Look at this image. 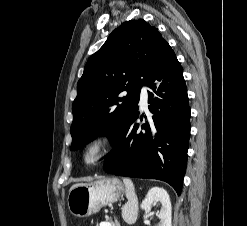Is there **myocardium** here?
Wrapping results in <instances>:
<instances>
[{"instance_id": "1", "label": "myocardium", "mask_w": 247, "mask_h": 226, "mask_svg": "<svg viewBox=\"0 0 247 226\" xmlns=\"http://www.w3.org/2000/svg\"><path fill=\"white\" fill-rule=\"evenodd\" d=\"M112 139L105 134H96L84 144L81 158L85 165L96 166L100 164L111 152Z\"/></svg>"}]
</instances>
